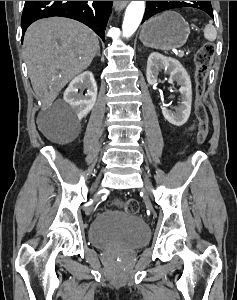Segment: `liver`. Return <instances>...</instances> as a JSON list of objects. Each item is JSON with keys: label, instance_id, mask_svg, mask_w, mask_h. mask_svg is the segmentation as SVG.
Segmentation results:
<instances>
[{"label": "liver", "instance_id": "liver-1", "mask_svg": "<svg viewBox=\"0 0 237 300\" xmlns=\"http://www.w3.org/2000/svg\"><path fill=\"white\" fill-rule=\"evenodd\" d=\"M97 35L72 19H40L28 27L23 45L31 85L42 103H53L61 89L91 65Z\"/></svg>", "mask_w": 237, "mask_h": 300}]
</instances>
